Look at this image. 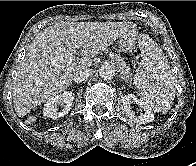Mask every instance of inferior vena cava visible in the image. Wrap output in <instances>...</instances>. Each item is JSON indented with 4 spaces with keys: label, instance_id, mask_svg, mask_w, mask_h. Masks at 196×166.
<instances>
[{
    "label": "inferior vena cava",
    "instance_id": "602c4592",
    "mask_svg": "<svg viewBox=\"0 0 196 166\" xmlns=\"http://www.w3.org/2000/svg\"><path fill=\"white\" fill-rule=\"evenodd\" d=\"M91 74H92L91 69L83 68V69L79 70L78 72H76V74L73 77V80L76 83H80V82L85 81Z\"/></svg>",
    "mask_w": 196,
    "mask_h": 166
}]
</instances>
